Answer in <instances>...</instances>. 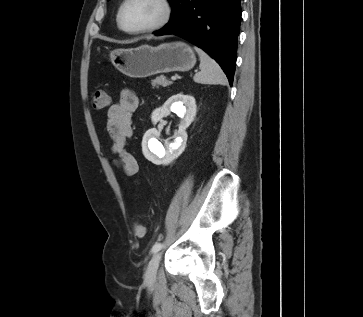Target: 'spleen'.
<instances>
[{
  "label": "spleen",
  "instance_id": "3e777b00",
  "mask_svg": "<svg viewBox=\"0 0 363 317\" xmlns=\"http://www.w3.org/2000/svg\"><path fill=\"white\" fill-rule=\"evenodd\" d=\"M200 57V72L196 73L193 80L201 84L226 85L228 80L219 64L212 59L205 51L194 47Z\"/></svg>",
  "mask_w": 363,
  "mask_h": 317
}]
</instances>
